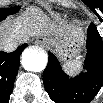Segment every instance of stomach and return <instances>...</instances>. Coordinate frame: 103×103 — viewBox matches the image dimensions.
<instances>
[{
  "instance_id": "0dacf381",
  "label": "stomach",
  "mask_w": 103,
  "mask_h": 103,
  "mask_svg": "<svg viewBox=\"0 0 103 103\" xmlns=\"http://www.w3.org/2000/svg\"><path fill=\"white\" fill-rule=\"evenodd\" d=\"M44 40L65 64L80 57L84 44V36L81 31L61 37L45 38Z\"/></svg>"
}]
</instances>
